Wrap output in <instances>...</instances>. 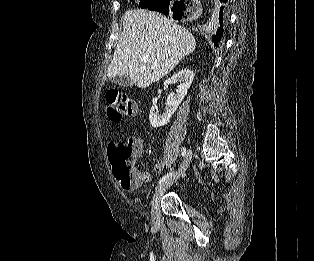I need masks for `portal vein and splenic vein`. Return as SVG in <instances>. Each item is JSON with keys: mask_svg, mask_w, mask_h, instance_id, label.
Wrapping results in <instances>:
<instances>
[{"mask_svg": "<svg viewBox=\"0 0 314 261\" xmlns=\"http://www.w3.org/2000/svg\"><path fill=\"white\" fill-rule=\"evenodd\" d=\"M141 60H142L143 62H148V58H147V57H142ZM157 67H158V64H156V63H153V64H152V68H157Z\"/></svg>", "mask_w": 314, "mask_h": 261, "instance_id": "obj_1", "label": "portal vein and splenic vein"}]
</instances>
